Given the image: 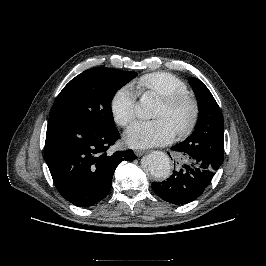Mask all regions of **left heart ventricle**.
<instances>
[{
	"label": "left heart ventricle",
	"instance_id": "1",
	"mask_svg": "<svg viewBox=\"0 0 266 266\" xmlns=\"http://www.w3.org/2000/svg\"><path fill=\"white\" fill-rule=\"evenodd\" d=\"M190 114L191 109L187 104L175 109H170L160 101L155 110L154 117L167 119L176 131L188 122Z\"/></svg>",
	"mask_w": 266,
	"mask_h": 266
}]
</instances>
